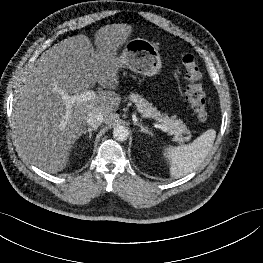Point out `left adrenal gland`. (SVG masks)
<instances>
[{
  "label": "left adrenal gland",
  "instance_id": "a2214340",
  "mask_svg": "<svg viewBox=\"0 0 263 263\" xmlns=\"http://www.w3.org/2000/svg\"><path fill=\"white\" fill-rule=\"evenodd\" d=\"M134 125H137L140 127V132L148 134L149 136H152V133L148 130V127H144L141 123L139 122H134Z\"/></svg>",
  "mask_w": 263,
  "mask_h": 263
}]
</instances>
